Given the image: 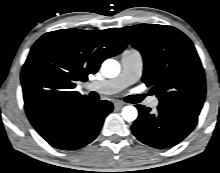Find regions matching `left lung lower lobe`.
Returning <instances> with one entry per match:
<instances>
[{"label": "left lung lower lobe", "mask_w": 220, "mask_h": 173, "mask_svg": "<svg viewBox=\"0 0 220 173\" xmlns=\"http://www.w3.org/2000/svg\"><path fill=\"white\" fill-rule=\"evenodd\" d=\"M136 107L139 116L131 127L133 134L142 143L158 149L178 144L198 121V115L173 107L159 105L155 114L143 105Z\"/></svg>", "instance_id": "left-lung-lower-lobe-1"}]
</instances>
